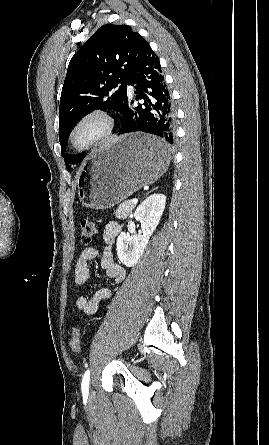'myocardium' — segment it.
<instances>
[{"mask_svg": "<svg viewBox=\"0 0 269 445\" xmlns=\"http://www.w3.org/2000/svg\"><path fill=\"white\" fill-rule=\"evenodd\" d=\"M94 124L96 131L85 139L81 138L83 130ZM115 119L104 109H92L82 114L73 124L68 136L70 148L75 152H86L106 140L114 131Z\"/></svg>", "mask_w": 269, "mask_h": 445, "instance_id": "myocardium-1", "label": "myocardium"}]
</instances>
